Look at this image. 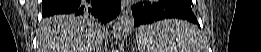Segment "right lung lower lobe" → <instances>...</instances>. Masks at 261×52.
<instances>
[{
	"instance_id": "right-lung-lower-lobe-1",
	"label": "right lung lower lobe",
	"mask_w": 261,
	"mask_h": 52,
	"mask_svg": "<svg viewBox=\"0 0 261 52\" xmlns=\"http://www.w3.org/2000/svg\"><path fill=\"white\" fill-rule=\"evenodd\" d=\"M121 0H43L42 16L71 14L90 17L100 24L114 19L120 12Z\"/></svg>"
}]
</instances>
